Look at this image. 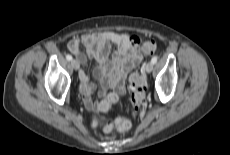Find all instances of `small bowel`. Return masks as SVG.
Returning a JSON list of instances; mask_svg holds the SVG:
<instances>
[{"mask_svg": "<svg viewBox=\"0 0 230 155\" xmlns=\"http://www.w3.org/2000/svg\"><path fill=\"white\" fill-rule=\"evenodd\" d=\"M143 43L138 36L113 31L84 34L68 43V50L76 57L79 65L85 63L86 57L98 62L93 75L101 83V95H105L107 88L115 91L99 102H94L92 100L94 86L89 76L81 70L79 74L82 83L81 92L87 109L106 112L112 105L109 99L114 97L117 101L118 95L125 93V78L140 63L145 53L142 50ZM81 45L85 47L86 55L82 52ZM113 45L116 49L110 56Z\"/></svg>", "mask_w": 230, "mask_h": 155, "instance_id": "c3829d8e", "label": "small bowel"}]
</instances>
